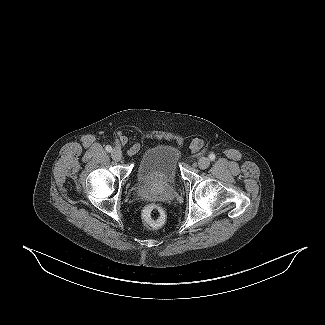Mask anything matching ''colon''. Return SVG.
Listing matches in <instances>:
<instances>
[{
    "label": "colon",
    "instance_id": "1",
    "mask_svg": "<svg viewBox=\"0 0 325 325\" xmlns=\"http://www.w3.org/2000/svg\"><path fill=\"white\" fill-rule=\"evenodd\" d=\"M200 147L199 142L194 143V148L198 149ZM142 216L147 225L151 227H158L163 224L165 220V212L157 204H148L144 207Z\"/></svg>",
    "mask_w": 325,
    "mask_h": 325
}]
</instances>
